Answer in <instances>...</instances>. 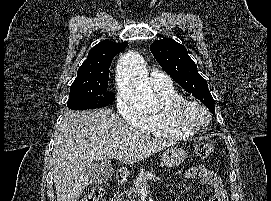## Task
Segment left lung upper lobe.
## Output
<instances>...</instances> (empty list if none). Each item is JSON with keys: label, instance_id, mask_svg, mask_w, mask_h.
Here are the masks:
<instances>
[{"label": "left lung upper lobe", "instance_id": "5c2ea615", "mask_svg": "<svg viewBox=\"0 0 271 201\" xmlns=\"http://www.w3.org/2000/svg\"><path fill=\"white\" fill-rule=\"evenodd\" d=\"M160 66L187 92L203 102L215 114L214 99L186 48L171 38L156 41L150 46Z\"/></svg>", "mask_w": 271, "mask_h": 201}]
</instances>
